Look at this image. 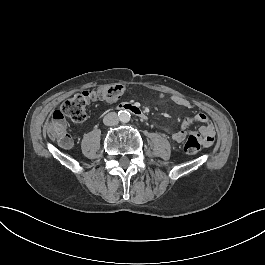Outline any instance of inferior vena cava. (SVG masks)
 <instances>
[{"mask_svg": "<svg viewBox=\"0 0 265 265\" xmlns=\"http://www.w3.org/2000/svg\"><path fill=\"white\" fill-rule=\"evenodd\" d=\"M103 122L107 126L117 125L119 123V117L115 112H110L104 117Z\"/></svg>", "mask_w": 265, "mask_h": 265, "instance_id": "obj_1", "label": "inferior vena cava"}]
</instances>
